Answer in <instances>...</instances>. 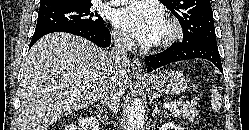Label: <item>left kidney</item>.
Here are the masks:
<instances>
[{
    "label": "left kidney",
    "mask_w": 249,
    "mask_h": 130,
    "mask_svg": "<svg viewBox=\"0 0 249 130\" xmlns=\"http://www.w3.org/2000/svg\"><path fill=\"white\" fill-rule=\"evenodd\" d=\"M160 130H183V128L175 125L172 122H167L161 126Z\"/></svg>",
    "instance_id": "5707ae66"
}]
</instances>
